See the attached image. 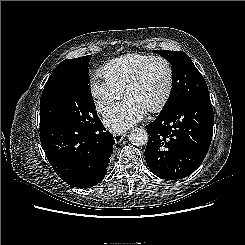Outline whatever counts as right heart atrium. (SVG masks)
<instances>
[{"label":"right heart atrium","instance_id":"1","mask_svg":"<svg viewBox=\"0 0 245 245\" xmlns=\"http://www.w3.org/2000/svg\"><path fill=\"white\" fill-rule=\"evenodd\" d=\"M89 91L99 113L105 112L123 94V90L113 85L101 71H95L90 75Z\"/></svg>","mask_w":245,"mask_h":245}]
</instances>
